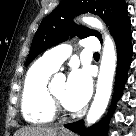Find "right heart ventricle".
Segmentation results:
<instances>
[{
    "instance_id": "obj_1",
    "label": "right heart ventricle",
    "mask_w": 136,
    "mask_h": 136,
    "mask_svg": "<svg viewBox=\"0 0 136 136\" xmlns=\"http://www.w3.org/2000/svg\"><path fill=\"white\" fill-rule=\"evenodd\" d=\"M53 69L41 60L28 70L22 88L21 110L24 119L32 124L49 123L54 118V111L48 97V80Z\"/></svg>"
}]
</instances>
